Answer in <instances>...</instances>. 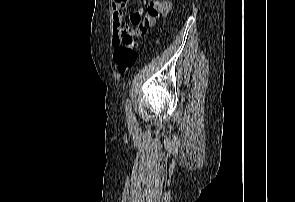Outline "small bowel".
Segmentation results:
<instances>
[{
    "label": "small bowel",
    "instance_id": "small-bowel-1",
    "mask_svg": "<svg viewBox=\"0 0 295 202\" xmlns=\"http://www.w3.org/2000/svg\"><path fill=\"white\" fill-rule=\"evenodd\" d=\"M142 11L137 10L129 13L128 19L132 26L144 32L154 26L156 19L166 17L172 10V3L169 0H141ZM130 6V0H114L113 22H112V43L119 46L120 37L125 32L123 21Z\"/></svg>",
    "mask_w": 295,
    "mask_h": 202
}]
</instances>
